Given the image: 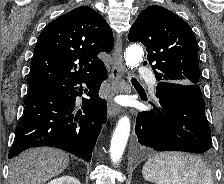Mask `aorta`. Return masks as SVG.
<instances>
[{
  "instance_id": "obj_1",
  "label": "aorta",
  "mask_w": 224,
  "mask_h": 184,
  "mask_svg": "<svg viewBox=\"0 0 224 184\" xmlns=\"http://www.w3.org/2000/svg\"><path fill=\"white\" fill-rule=\"evenodd\" d=\"M143 57V48L138 44H132L126 48L124 54L125 64L132 69L142 62ZM130 128V119L127 116L121 117L113 133L110 145V157L115 164H118L123 155L129 138Z\"/></svg>"
}]
</instances>
